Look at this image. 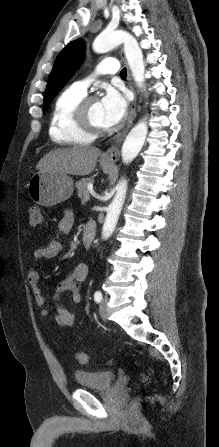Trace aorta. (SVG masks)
<instances>
[{
    "label": "aorta",
    "mask_w": 219,
    "mask_h": 447,
    "mask_svg": "<svg viewBox=\"0 0 219 447\" xmlns=\"http://www.w3.org/2000/svg\"><path fill=\"white\" fill-rule=\"evenodd\" d=\"M123 44L124 53L131 70L134 81L138 87L143 88L145 82V65L143 53L137 40L128 32L123 30L103 31L93 42V50L97 53H105ZM148 133V126L145 120L137 123L126 136L122 145V159L124 162H131L144 145ZM127 191L126 180H121L116 187V195L107 208L106 218L103 224L102 236L108 238L115 230L118 222Z\"/></svg>",
    "instance_id": "aorta-1"
}]
</instances>
